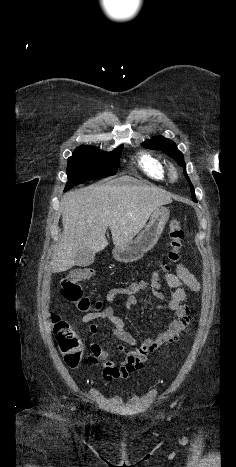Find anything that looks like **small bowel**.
Here are the masks:
<instances>
[{"mask_svg":"<svg viewBox=\"0 0 236 467\" xmlns=\"http://www.w3.org/2000/svg\"><path fill=\"white\" fill-rule=\"evenodd\" d=\"M161 276L171 291L168 307L175 314V317L169 322L165 331L137 346V339L127 331L124 320L114 314L112 303L116 297L125 296V307L130 309L137 303L138 295L145 291H150L157 299H164L165 294L160 282ZM185 287L195 293L200 291L199 281L185 265L179 264L175 273L162 274L157 270L149 281L140 280L126 287L111 289L105 297V307L100 312H87L81 317V322L85 324L96 319L110 321L114 326L113 335L124 343L135 346L134 349H127L122 345L117 346V350L124 354L120 365L117 366L107 350L98 343H91L88 361L92 365L100 364L102 366L103 377L106 381L129 378L133 373L143 368L150 353L176 341L187 329L191 322V313L189 307L184 304L187 298ZM89 332L92 336L96 335L98 325L91 324Z\"/></svg>","mask_w":236,"mask_h":467,"instance_id":"obj_1","label":"small bowel"}]
</instances>
